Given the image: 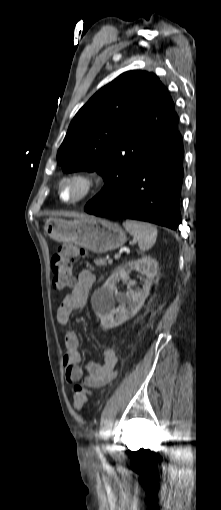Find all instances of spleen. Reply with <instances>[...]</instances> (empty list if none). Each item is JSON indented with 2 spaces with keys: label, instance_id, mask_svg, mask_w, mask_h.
Here are the masks:
<instances>
[{
  "label": "spleen",
  "instance_id": "spleen-1",
  "mask_svg": "<svg viewBox=\"0 0 221 510\" xmlns=\"http://www.w3.org/2000/svg\"><path fill=\"white\" fill-rule=\"evenodd\" d=\"M124 228L138 241V246L142 251L149 250L155 243L158 230L150 224L135 220H126L123 222Z\"/></svg>",
  "mask_w": 221,
  "mask_h": 510
}]
</instances>
